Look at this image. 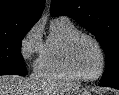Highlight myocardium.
<instances>
[{"label": "myocardium", "instance_id": "obj_1", "mask_svg": "<svg viewBox=\"0 0 119 95\" xmlns=\"http://www.w3.org/2000/svg\"><path fill=\"white\" fill-rule=\"evenodd\" d=\"M81 38H86L92 41L97 49L99 50L100 57H101V65L99 72L95 76H83L81 75L75 68L74 62H73V51L76 43L81 39ZM64 59H65V64L67 69L70 71V73L78 80L82 81H94L99 79L102 74L104 73L105 66H106V55L105 51L101 45V43L96 39L94 36L84 33V32H78L74 34L67 42L66 47H65V52H64Z\"/></svg>", "mask_w": 119, "mask_h": 95}]
</instances>
